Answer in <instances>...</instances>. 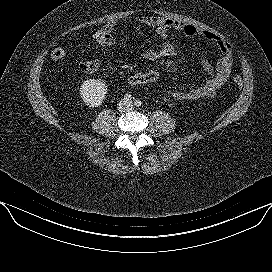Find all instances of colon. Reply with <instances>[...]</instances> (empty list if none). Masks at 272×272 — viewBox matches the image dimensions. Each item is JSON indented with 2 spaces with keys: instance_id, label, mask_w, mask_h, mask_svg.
Segmentation results:
<instances>
[{
  "instance_id": "5ec220e1",
  "label": "colon",
  "mask_w": 272,
  "mask_h": 272,
  "mask_svg": "<svg viewBox=\"0 0 272 272\" xmlns=\"http://www.w3.org/2000/svg\"><path fill=\"white\" fill-rule=\"evenodd\" d=\"M89 42L101 47H113L116 43L115 37L112 33L99 29L91 33L88 37ZM67 52L65 48L58 46L51 51V57L54 60H61L66 56ZM100 64L97 61H84L79 65V70L87 75L95 74L99 71ZM162 77V73L159 69L151 68L141 72L130 75L127 79V83L131 86H143L157 82ZM234 83L236 86L241 87L243 80L241 77H234Z\"/></svg>"
}]
</instances>
